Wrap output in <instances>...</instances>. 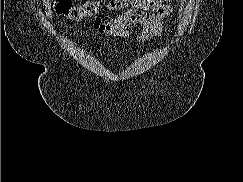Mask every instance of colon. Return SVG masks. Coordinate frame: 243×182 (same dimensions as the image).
Here are the masks:
<instances>
[{
	"label": "colon",
	"instance_id": "1",
	"mask_svg": "<svg viewBox=\"0 0 243 182\" xmlns=\"http://www.w3.org/2000/svg\"><path fill=\"white\" fill-rule=\"evenodd\" d=\"M133 0H92L84 3H74L73 0H54L58 15L70 20H82L106 9L118 11L132 4Z\"/></svg>",
	"mask_w": 243,
	"mask_h": 182
}]
</instances>
